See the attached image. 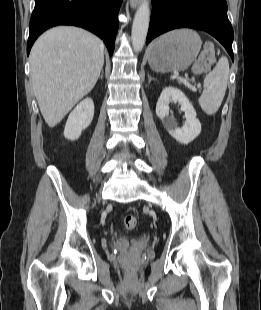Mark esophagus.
Here are the masks:
<instances>
[{
	"label": "esophagus",
	"mask_w": 261,
	"mask_h": 310,
	"mask_svg": "<svg viewBox=\"0 0 261 310\" xmlns=\"http://www.w3.org/2000/svg\"><path fill=\"white\" fill-rule=\"evenodd\" d=\"M140 4V0H130V6L132 9H136Z\"/></svg>",
	"instance_id": "esophagus-1"
}]
</instances>
